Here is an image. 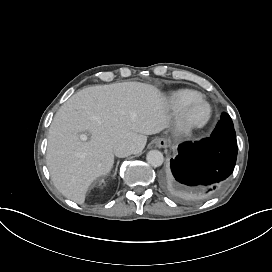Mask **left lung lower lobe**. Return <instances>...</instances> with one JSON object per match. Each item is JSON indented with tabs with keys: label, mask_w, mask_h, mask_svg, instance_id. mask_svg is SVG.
<instances>
[{
	"label": "left lung lower lobe",
	"mask_w": 272,
	"mask_h": 272,
	"mask_svg": "<svg viewBox=\"0 0 272 272\" xmlns=\"http://www.w3.org/2000/svg\"><path fill=\"white\" fill-rule=\"evenodd\" d=\"M238 147L217 138L179 145L171 170L163 178L166 189L180 199H204L219 192L236 164Z\"/></svg>",
	"instance_id": "0a47b994"
}]
</instances>
